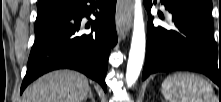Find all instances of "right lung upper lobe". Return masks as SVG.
Instances as JSON below:
<instances>
[{
    "instance_id": "obj_1",
    "label": "right lung upper lobe",
    "mask_w": 221,
    "mask_h": 102,
    "mask_svg": "<svg viewBox=\"0 0 221 102\" xmlns=\"http://www.w3.org/2000/svg\"><path fill=\"white\" fill-rule=\"evenodd\" d=\"M61 0H39L38 9L53 6Z\"/></svg>"
}]
</instances>
